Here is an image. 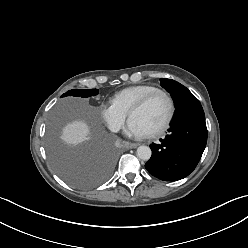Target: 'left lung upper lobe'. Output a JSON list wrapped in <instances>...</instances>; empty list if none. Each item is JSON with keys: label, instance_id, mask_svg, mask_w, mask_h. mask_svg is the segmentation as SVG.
<instances>
[{"label": "left lung upper lobe", "instance_id": "obj_1", "mask_svg": "<svg viewBox=\"0 0 248 248\" xmlns=\"http://www.w3.org/2000/svg\"><path fill=\"white\" fill-rule=\"evenodd\" d=\"M161 86L170 93L175 107L189 94H192L185 86L171 79L161 78Z\"/></svg>", "mask_w": 248, "mask_h": 248}]
</instances>
